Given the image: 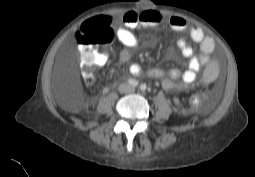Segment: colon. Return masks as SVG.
Segmentation results:
<instances>
[{
    "label": "colon",
    "instance_id": "obj_1",
    "mask_svg": "<svg viewBox=\"0 0 255 177\" xmlns=\"http://www.w3.org/2000/svg\"><path fill=\"white\" fill-rule=\"evenodd\" d=\"M76 40L79 44L82 65L88 70L96 66V53L99 47L113 42L114 32L110 28L109 20L106 17H98L82 24L80 31L76 33ZM209 73L210 70L207 69L206 76ZM83 78L86 83L93 81V76L89 72H85Z\"/></svg>",
    "mask_w": 255,
    "mask_h": 177
}]
</instances>
